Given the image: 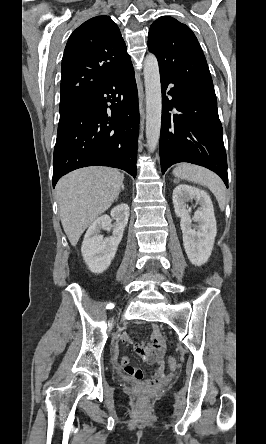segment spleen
Returning a JSON list of instances; mask_svg holds the SVG:
<instances>
[{
  "label": "spleen",
  "instance_id": "spleen-1",
  "mask_svg": "<svg viewBox=\"0 0 266 444\" xmlns=\"http://www.w3.org/2000/svg\"><path fill=\"white\" fill-rule=\"evenodd\" d=\"M173 174L180 179L208 187L215 195L220 209H225V186L219 176H217L215 173L200 166L182 163L174 168Z\"/></svg>",
  "mask_w": 266,
  "mask_h": 444
}]
</instances>
